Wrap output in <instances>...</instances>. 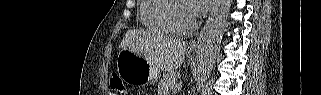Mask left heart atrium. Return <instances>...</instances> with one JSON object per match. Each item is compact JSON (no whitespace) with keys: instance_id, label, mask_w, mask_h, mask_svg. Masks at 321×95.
<instances>
[{"instance_id":"obj_1","label":"left heart atrium","mask_w":321,"mask_h":95,"mask_svg":"<svg viewBox=\"0 0 321 95\" xmlns=\"http://www.w3.org/2000/svg\"><path fill=\"white\" fill-rule=\"evenodd\" d=\"M191 6L188 7L189 12L193 17H197L205 12L212 1L210 0H190Z\"/></svg>"}]
</instances>
